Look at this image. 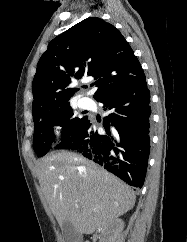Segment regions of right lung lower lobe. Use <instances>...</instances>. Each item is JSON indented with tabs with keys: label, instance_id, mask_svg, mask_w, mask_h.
<instances>
[{
	"label": "right lung lower lobe",
	"instance_id": "1",
	"mask_svg": "<svg viewBox=\"0 0 187 242\" xmlns=\"http://www.w3.org/2000/svg\"><path fill=\"white\" fill-rule=\"evenodd\" d=\"M110 113L107 135L97 133L89 119L55 148L82 153L129 185L143 186L150 153V92L146 79L111 91L98 100Z\"/></svg>",
	"mask_w": 187,
	"mask_h": 242
}]
</instances>
